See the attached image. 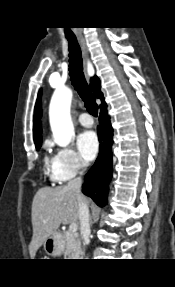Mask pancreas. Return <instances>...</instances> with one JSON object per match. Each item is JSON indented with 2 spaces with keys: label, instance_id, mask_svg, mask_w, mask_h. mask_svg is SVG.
I'll list each match as a JSON object with an SVG mask.
<instances>
[{
  "label": "pancreas",
  "instance_id": "pancreas-1",
  "mask_svg": "<svg viewBox=\"0 0 175 287\" xmlns=\"http://www.w3.org/2000/svg\"><path fill=\"white\" fill-rule=\"evenodd\" d=\"M66 253L70 254L72 258H78L81 255V241L76 232L66 231Z\"/></svg>",
  "mask_w": 175,
  "mask_h": 287
}]
</instances>
